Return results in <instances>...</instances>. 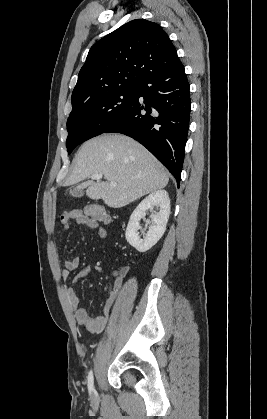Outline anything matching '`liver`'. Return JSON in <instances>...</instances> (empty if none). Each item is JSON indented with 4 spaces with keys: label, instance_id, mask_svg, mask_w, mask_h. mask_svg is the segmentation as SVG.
<instances>
[{
    "label": "liver",
    "instance_id": "1",
    "mask_svg": "<svg viewBox=\"0 0 267 419\" xmlns=\"http://www.w3.org/2000/svg\"><path fill=\"white\" fill-rule=\"evenodd\" d=\"M93 174H102L105 181L87 180L80 188L86 189L90 199H102L112 208L160 190L169 181L163 165L144 146L122 134H104L85 142L65 185L77 184ZM111 182L117 185L112 187Z\"/></svg>",
    "mask_w": 267,
    "mask_h": 419
}]
</instances>
